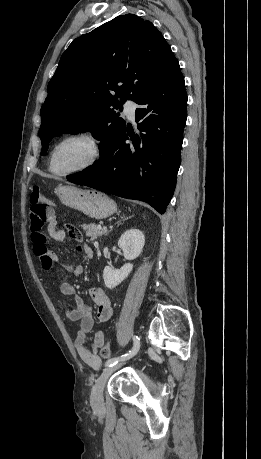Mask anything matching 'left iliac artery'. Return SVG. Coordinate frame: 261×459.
<instances>
[{
    "instance_id": "44dca946",
    "label": "left iliac artery",
    "mask_w": 261,
    "mask_h": 459,
    "mask_svg": "<svg viewBox=\"0 0 261 459\" xmlns=\"http://www.w3.org/2000/svg\"><path fill=\"white\" fill-rule=\"evenodd\" d=\"M133 347L132 349L124 354V355H121V356H118V357H114V358H111L109 359L106 363H105V367H111L113 365H116L119 361L121 360H125L126 358H129V357H132L133 355H135L139 348H140V338L138 336H134L133 337Z\"/></svg>"
}]
</instances>
